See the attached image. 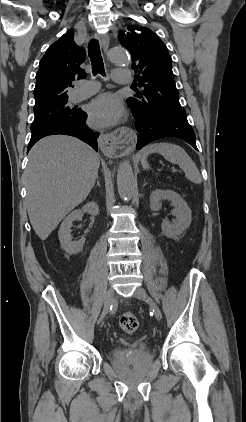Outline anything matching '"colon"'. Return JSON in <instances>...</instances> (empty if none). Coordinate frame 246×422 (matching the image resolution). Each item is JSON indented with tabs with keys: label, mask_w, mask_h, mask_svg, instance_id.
<instances>
[{
	"label": "colon",
	"mask_w": 246,
	"mask_h": 422,
	"mask_svg": "<svg viewBox=\"0 0 246 422\" xmlns=\"http://www.w3.org/2000/svg\"><path fill=\"white\" fill-rule=\"evenodd\" d=\"M119 325L125 333L132 334L137 330L139 322L133 313L127 312L120 316Z\"/></svg>",
	"instance_id": "1"
}]
</instances>
